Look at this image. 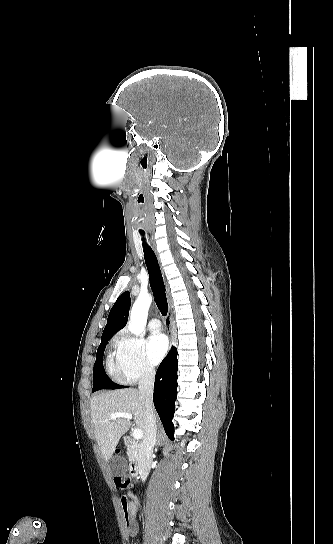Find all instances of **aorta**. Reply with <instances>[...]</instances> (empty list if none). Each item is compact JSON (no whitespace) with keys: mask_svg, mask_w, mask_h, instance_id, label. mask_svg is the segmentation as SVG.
Segmentation results:
<instances>
[{"mask_svg":"<svg viewBox=\"0 0 333 544\" xmlns=\"http://www.w3.org/2000/svg\"><path fill=\"white\" fill-rule=\"evenodd\" d=\"M152 303V297L148 293H140L130 312L129 329L138 336L142 333L148 317V310Z\"/></svg>","mask_w":333,"mask_h":544,"instance_id":"aorta-1","label":"aorta"}]
</instances>
